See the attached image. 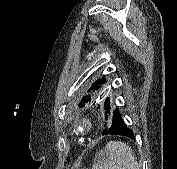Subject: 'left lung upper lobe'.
I'll use <instances>...</instances> for the list:
<instances>
[{"label":"left lung upper lobe","instance_id":"5c2ea615","mask_svg":"<svg viewBox=\"0 0 177 169\" xmlns=\"http://www.w3.org/2000/svg\"><path fill=\"white\" fill-rule=\"evenodd\" d=\"M106 81L107 80H106L105 77H102V78H99L98 80H96L90 86L89 90L87 91L88 93L85 96L82 97L81 102L79 103V106L83 107L86 104L94 102L98 98L100 93L102 92V89H103L102 85L105 84ZM104 109L106 110V115L111 114V106H110L109 98H107L105 103H104ZM110 123H111V118H110L109 122L104 125V130L103 131H105L107 129V127L110 125Z\"/></svg>","mask_w":177,"mask_h":169}]
</instances>
